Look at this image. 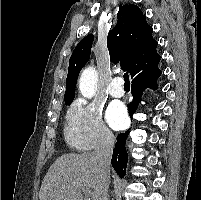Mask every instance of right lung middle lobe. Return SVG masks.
Masks as SVG:
<instances>
[{
    "instance_id": "dd1d6c3e",
    "label": "right lung middle lobe",
    "mask_w": 201,
    "mask_h": 200,
    "mask_svg": "<svg viewBox=\"0 0 201 200\" xmlns=\"http://www.w3.org/2000/svg\"><path fill=\"white\" fill-rule=\"evenodd\" d=\"M72 101H73V99L66 100V101H65V104H66V105H70V104L72 103Z\"/></svg>"
}]
</instances>
